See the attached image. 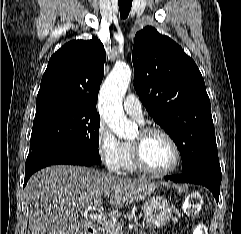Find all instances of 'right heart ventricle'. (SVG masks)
Masks as SVG:
<instances>
[{
    "label": "right heart ventricle",
    "mask_w": 241,
    "mask_h": 234,
    "mask_svg": "<svg viewBox=\"0 0 241 234\" xmlns=\"http://www.w3.org/2000/svg\"><path fill=\"white\" fill-rule=\"evenodd\" d=\"M119 170L125 173H134L138 170L133 162L131 154V145L128 142L122 143Z\"/></svg>",
    "instance_id": "obj_1"
}]
</instances>
